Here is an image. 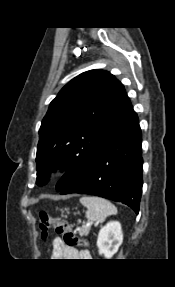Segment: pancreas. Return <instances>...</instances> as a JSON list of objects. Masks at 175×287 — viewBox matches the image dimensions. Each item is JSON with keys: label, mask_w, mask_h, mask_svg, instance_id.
I'll return each mask as SVG.
<instances>
[{"label": "pancreas", "mask_w": 175, "mask_h": 287, "mask_svg": "<svg viewBox=\"0 0 175 287\" xmlns=\"http://www.w3.org/2000/svg\"><path fill=\"white\" fill-rule=\"evenodd\" d=\"M90 226H83L80 230H79V235L80 236H87L89 234L90 231Z\"/></svg>", "instance_id": "obj_1"}]
</instances>
